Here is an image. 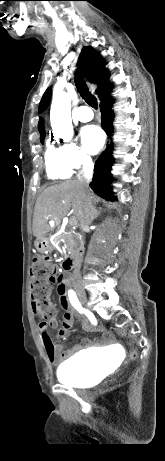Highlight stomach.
Masks as SVG:
<instances>
[{
  "mask_svg": "<svg viewBox=\"0 0 165 461\" xmlns=\"http://www.w3.org/2000/svg\"><path fill=\"white\" fill-rule=\"evenodd\" d=\"M35 248L37 251L43 253L46 250L51 248L49 238L47 236H43L39 239L36 240L35 242Z\"/></svg>",
  "mask_w": 165,
  "mask_h": 461,
  "instance_id": "1",
  "label": "stomach"
}]
</instances>
